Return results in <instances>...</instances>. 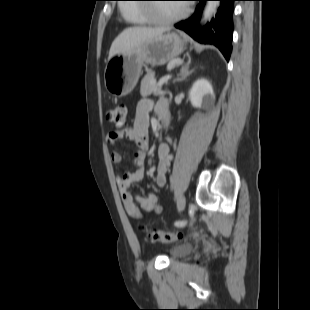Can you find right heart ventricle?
I'll use <instances>...</instances> for the list:
<instances>
[{
	"instance_id": "obj_1",
	"label": "right heart ventricle",
	"mask_w": 310,
	"mask_h": 310,
	"mask_svg": "<svg viewBox=\"0 0 310 310\" xmlns=\"http://www.w3.org/2000/svg\"><path fill=\"white\" fill-rule=\"evenodd\" d=\"M120 11L123 17L133 25H145L151 21L145 10L139 6L124 4Z\"/></svg>"
}]
</instances>
